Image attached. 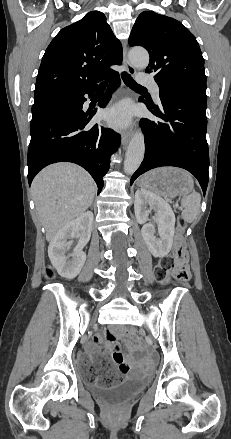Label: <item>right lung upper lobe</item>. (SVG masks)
<instances>
[{
	"instance_id": "obj_1",
	"label": "right lung upper lobe",
	"mask_w": 231,
	"mask_h": 439,
	"mask_svg": "<svg viewBox=\"0 0 231 439\" xmlns=\"http://www.w3.org/2000/svg\"><path fill=\"white\" fill-rule=\"evenodd\" d=\"M120 41L102 12L86 14L63 28L51 41L39 68L34 96L78 93L111 75L121 65Z\"/></svg>"
}]
</instances>
